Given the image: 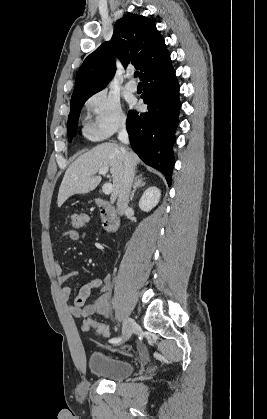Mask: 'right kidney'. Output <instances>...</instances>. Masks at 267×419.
<instances>
[{
  "label": "right kidney",
  "mask_w": 267,
  "mask_h": 419,
  "mask_svg": "<svg viewBox=\"0 0 267 419\" xmlns=\"http://www.w3.org/2000/svg\"><path fill=\"white\" fill-rule=\"evenodd\" d=\"M161 191L156 186L145 190L139 200V208L144 212L151 211L160 201Z\"/></svg>",
  "instance_id": "right-kidney-1"
}]
</instances>
